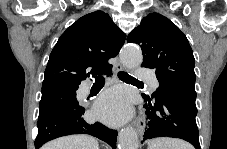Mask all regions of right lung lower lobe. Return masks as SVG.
Here are the masks:
<instances>
[{
  "label": "right lung lower lobe",
  "instance_id": "obj_1",
  "mask_svg": "<svg viewBox=\"0 0 227 149\" xmlns=\"http://www.w3.org/2000/svg\"><path fill=\"white\" fill-rule=\"evenodd\" d=\"M109 76L112 70L106 72ZM85 109L61 108L39 117L37 121L38 135L35 140L36 149L46 142L71 134H89L107 142L113 149L116 147L117 131L109 129L101 123L87 124L83 119Z\"/></svg>",
  "mask_w": 227,
  "mask_h": 149
}]
</instances>
